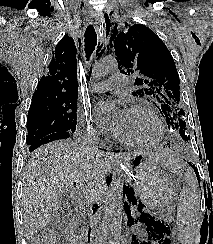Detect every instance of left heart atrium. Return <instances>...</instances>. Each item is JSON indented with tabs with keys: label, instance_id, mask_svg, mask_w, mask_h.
Segmentation results:
<instances>
[{
	"label": "left heart atrium",
	"instance_id": "39dd6f15",
	"mask_svg": "<svg viewBox=\"0 0 213 244\" xmlns=\"http://www.w3.org/2000/svg\"><path fill=\"white\" fill-rule=\"evenodd\" d=\"M96 110L100 115H103L106 107H107V102L105 101H99L96 103ZM129 110L126 108H121L117 111L116 115L111 121H108L110 126L117 131L125 122L127 115H128Z\"/></svg>",
	"mask_w": 213,
	"mask_h": 244
}]
</instances>
